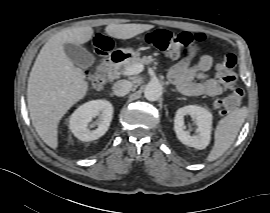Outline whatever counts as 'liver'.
Wrapping results in <instances>:
<instances>
[{
    "instance_id": "obj_1",
    "label": "liver",
    "mask_w": 270,
    "mask_h": 213,
    "mask_svg": "<svg viewBox=\"0 0 270 213\" xmlns=\"http://www.w3.org/2000/svg\"><path fill=\"white\" fill-rule=\"evenodd\" d=\"M153 27L149 24H110L105 32L117 39H130ZM93 33L90 26L56 33L42 47L30 72L27 86L30 118L40 138L52 149L58 147L57 130L61 118L88 91L84 72L74 66L63 46L84 44Z\"/></svg>"
}]
</instances>
